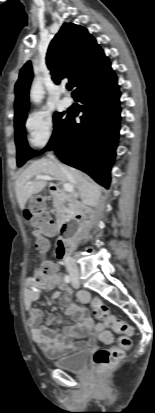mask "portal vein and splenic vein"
Wrapping results in <instances>:
<instances>
[{
  "label": "portal vein and splenic vein",
  "mask_w": 155,
  "mask_h": 413,
  "mask_svg": "<svg viewBox=\"0 0 155 413\" xmlns=\"http://www.w3.org/2000/svg\"><path fill=\"white\" fill-rule=\"evenodd\" d=\"M38 180H45V181H52L54 180L53 177L51 176H38L37 177ZM63 189L65 192L67 193H71L73 191V187L70 184H64Z\"/></svg>",
  "instance_id": "portal-vein-and-splenic-vein-1"
}]
</instances>
